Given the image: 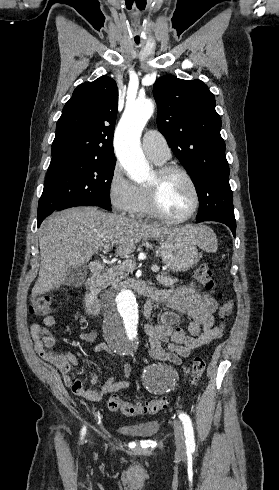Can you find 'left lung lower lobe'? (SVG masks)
<instances>
[{
	"label": "left lung lower lobe",
	"instance_id": "1",
	"mask_svg": "<svg viewBox=\"0 0 279 490\" xmlns=\"http://www.w3.org/2000/svg\"><path fill=\"white\" fill-rule=\"evenodd\" d=\"M206 221H217V222H221V223L226 224L231 229V231L233 232V235L235 237V235H236V221L235 222H229V221L217 219V218H212V219H209Z\"/></svg>",
	"mask_w": 279,
	"mask_h": 490
}]
</instances>
